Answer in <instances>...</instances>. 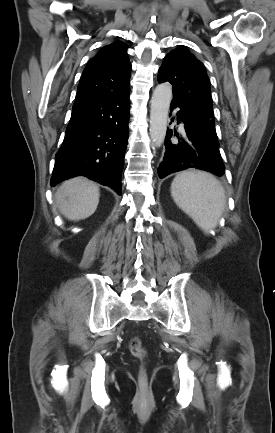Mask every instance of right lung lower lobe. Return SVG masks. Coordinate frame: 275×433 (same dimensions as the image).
Masks as SVG:
<instances>
[{
  "instance_id": "obj_1",
  "label": "right lung lower lobe",
  "mask_w": 275,
  "mask_h": 433,
  "mask_svg": "<svg viewBox=\"0 0 275 433\" xmlns=\"http://www.w3.org/2000/svg\"><path fill=\"white\" fill-rule=\"evenodd\" d=\"M129 109V91L73 107L64 141L56 154L51 186L85 176L121 195Z\"/></svg>"
}]
</instances>
